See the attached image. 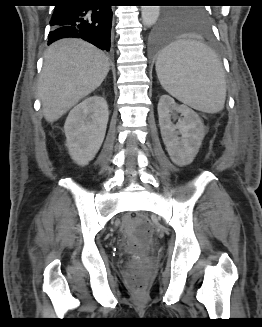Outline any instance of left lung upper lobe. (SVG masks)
<instances>
[{"instance_id":"1","label":"left lung upper lobe","mask_w":262,"mask_h":327,"mask_svg":"<svg viewBox=\"0 0 262 327\" xmlns=\"http://www.w3.org/2000/svg\"><path fill=\"white\" fill-rule=\"evenodd\" d=\"M183 3H201V0H180ZM163 20L171 26L194 25L201 28L208 27L207 11L202 6L185 7L182 9H167Z\"/></svg>"}]
</instances>
